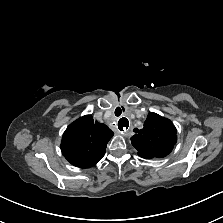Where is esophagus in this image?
Segmentation results:
<instances>
[{"mask_svg": "<svg viewBox=\"0 0 223 223\" xmlns=\"http://www.w3.org/2000/svg\"><path fill=\"white\" fill-rule=\"evenodd\" d=\"M117 126H118V130L122 134H127L131 130L132 123H131L130 119L123 117V118L119 119Z\"/></svg>", "mask_w": 223, "mask_h": 223, "instance_id": "obj_1", "label": "esophagus"}]
</instances>
